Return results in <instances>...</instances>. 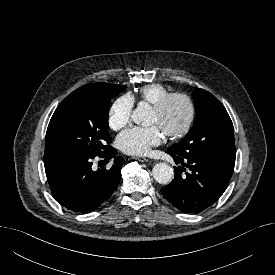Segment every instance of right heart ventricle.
I'll return each instance as SVG.
<instances>
[{
	"label": "right heart ventricle",
	"instance_id": "1",
	"mask_svg": "<svg viewBox=\"0 0 275 275\" xmlns=\"http://www.w3.org/2000/svg\"><path fill=\"white\" fill-rule=\"evenodd\" d=\"M168 93H170V91L164 85L154 83L142 86L137 91V95L135 97H131L133 99L137 98L142 102H147L151 105H155Z\"/></svg>",
	"mask_w": 275,
	"mask_h": 275
}]
</instances>
